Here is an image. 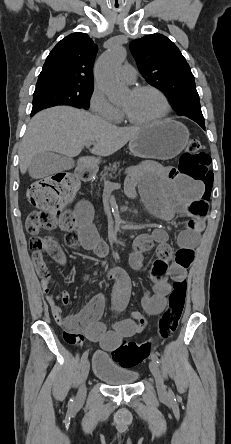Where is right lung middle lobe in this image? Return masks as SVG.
I'll return each mask as SVG.
<instances>
[{
  "mask_svg": "<svg viewBox=\"0 0 231 444\" xmlns=\"http://www.w3.org/2000/svg\"><path fill=\"white\" fill-rule=\"evenodd\" d=\"M93 86L52 84L36 87L33 94V108L31 114L39 110L57 106L69 105L88 109V101Z\"/></svg>",
  "mask_w": 231,
  "mask_h": 444,
  "instance_id": "obj_1",
  "label": "right lung middle lobe"
}]
</instances>
